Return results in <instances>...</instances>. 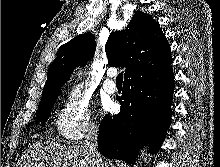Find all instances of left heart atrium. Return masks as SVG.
<instances>
[{"instance_id": "obj_1", "label": "left heart atrium", "mask_w": 220, "mask_h": 167, "mask_svg": "<svg viewBox=\"0 0 220 167\" xmlns=\"http://www.w3.org/2000/svg\"><path fill=\"white\" fill-rule=\"evenodd\" d=\"M103 109L105 111H110L112 109V102L110 100L103 102Z\"/></svg>"}]
</instances>
